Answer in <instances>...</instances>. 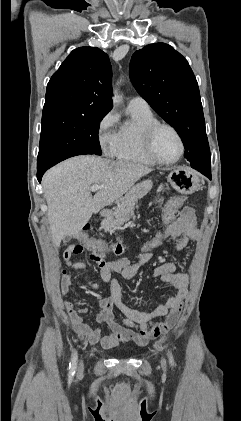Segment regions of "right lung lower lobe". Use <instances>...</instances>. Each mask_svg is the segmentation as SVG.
<instances>
[{
    "label": "right lung lower lobe",
    "mask_w": 241,
    "mask_h": 421,
    "mask_svg": "<svg viewBox=\"0 0 241 421\" xmlns=\"http://www.w3.org/2000/svg\"><path fill=\"white\" fill-rule=\"evenodd\" d=\"M51 166H46V167H37V178L38 181L41 182V178L43 176V174L45 173V171L50 168Z\"/></svg>",
    "instance_id": "1"
}]
</instances>
